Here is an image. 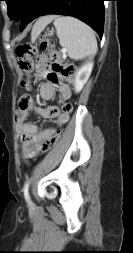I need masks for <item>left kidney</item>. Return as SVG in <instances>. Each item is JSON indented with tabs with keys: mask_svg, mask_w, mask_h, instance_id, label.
Returning a JSON list of instances; mask_svg holds the SVG:
<instances>
[{
	"mask_svg": "<svg viewBox=\"0 0 133 253\" xmlns=\"http://www.w3.org/2000/svg\"><path fill=\"white\" fill-rule=\"evenodd\" d=\"M92 68L93 62H87L76 71L74 79V89L76 93L80 92L83 89L84 85L90 77Z\"/></svg>",
	"mask_w": 133,
	"mask_h": 253,
	"instance_id": "left-kidney-1",
	"label": "left kidney"
}]
</instances>
